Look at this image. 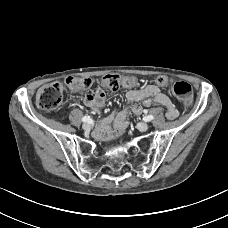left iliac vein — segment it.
Wrapping results in <instances>:
<instances>
[{
    "label": "left iliac vein",
    "instance_id": "1",
    "mask_svg": "<svg viewBox=\"0 0 228 228\" xmlns=\"http://www.w3.org/2000/svg\"><path fill=\"white\" fill-rule=\"evenodd\" d=\"M137 128L140 131H146V130H148L149 125L146 122H140V123L137 124Z\"/></svg>",
    "mask_w": 228,
    "mask_h": 228
}]
</instances>
